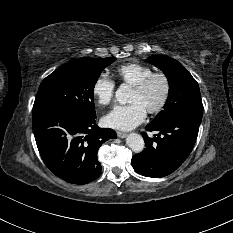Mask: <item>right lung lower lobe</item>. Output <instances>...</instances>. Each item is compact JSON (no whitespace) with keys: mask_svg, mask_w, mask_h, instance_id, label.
Instances as JSON below:
<instances>
[{"mask_svg":"<svg viewBox=\"0 0 233 233\" xmlns=\"http://www.w3.org/2000/svg\"><path fill=\"white\" fill-rule=\"evenodd\" d=\"M95 116L53 109L32 111L36 144L48 169L60 179L86 184L102 171L97 159L99 147L117 138L109 128H99Z\"/></svg>","mask_w":233,"mask_h":233,"instance_id":"98d812e1","label":"right lung lower lobe"}]
</instances>
